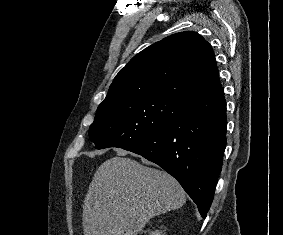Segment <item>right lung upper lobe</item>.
I'll use <instances>...</instances> for the list:
<instances>
[{
  "label": "right lung upper lobe",
  "mask_w": 283,
  "mask_h": 235,
  "mask_svg": "<svg viewBox=\"0 0 283 235\" xmlns=\"http://www.w3.org/2000/svg\"><path fill=\"white\" fill-rule=\"evenodd\" d=\"M221 84L211 45L196 32L173 34L147 47L120 70L100 104L136 97L184 103Z\"/></svg>",
  "instance_id": "cb5924a9"
}]
</instances>
